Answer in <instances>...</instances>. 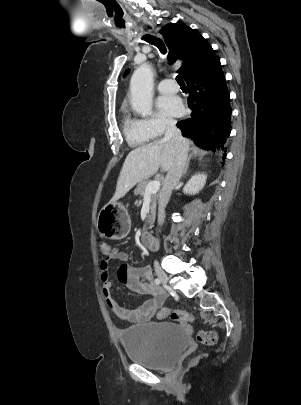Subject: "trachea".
I'll return each instance as SVG.
<instances>
[{"instance_id": "trachea-1", "label": "trachea", "mask_w": 301, "mask_h": 405, "mask_svg": "<svg viewBox=\"0 0 301 405\" xmlns=\"http://www.w3.org/2000/svg\"><path fill=\"white\" fill-rule=\"evenodd\" d=\"M143 40L156 46L162 54H166L167 50H166L165 44L160 38H157L152 35H145L143 37ZM176 81L178 82V84L180 86H186L184 83V80L180 74L176 76Z\"/></svg>"}]
</instances>
